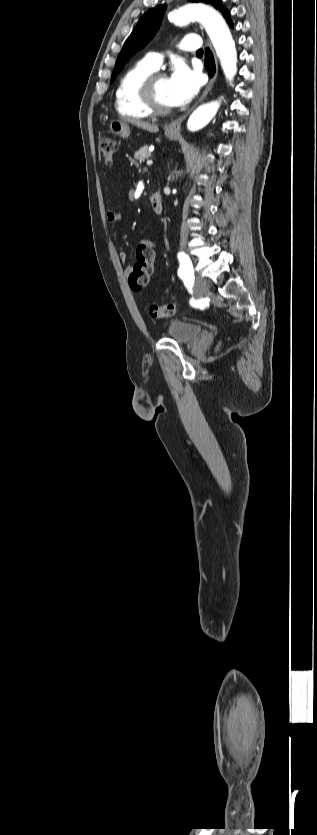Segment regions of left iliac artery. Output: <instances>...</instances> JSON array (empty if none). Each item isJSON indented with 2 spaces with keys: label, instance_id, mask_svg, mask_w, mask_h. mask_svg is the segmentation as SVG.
Listing matches in <instances>:
<instances>
[{
  "label": "left iliac artery",
  "instance_id": "obj_1",
  "mask_svg": "<svg viewBox=\"0 0 317 835\" xmlns=\"http://www.w3.org/2000/svg\"><path fill=\"white\" fill-rule=\"evenodd\" d=\"M177 257L180 262L178 276L183 280L187 287H190L194 282V270L191 260L184 252H179Z\"/></svg>",
  "mask_w": 317,
  "mask_h": 835
}]
</instances>
